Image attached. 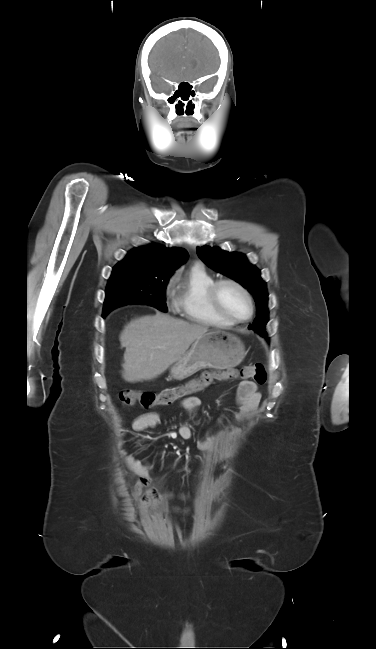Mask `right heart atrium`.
<instances>
[{
  "instance_id": "d8ad5b80",
  "label": "right heart atrium",
  "mask_w": 376,
  "mask_h": 649,
  "mask_svg": "<svg viewBox=\"0 0 376 649\" xmlns=\"http://www.w3.org/2000/svg\"><path fill=\"white\" fill-rule=\"evenodd\" d=\"M168 298H170V293H168Z\"/></svg>"
}]
</instances>
